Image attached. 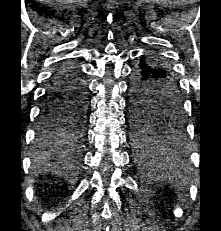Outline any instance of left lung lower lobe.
<instances>
[{"mask_svg":"<svg viewBox=\"0 0 221 231\" xmlns=\"http://www.w3.org/2000/svg\"><path fill=\"white\" fill-rule=\"evenodd\" d=\"M161 73L153 71L148 61L141 57L139 63L136 65L131 78L130 84V107L132 103L141 105H151L153 107L163 106V99H159L158 93H156L153 99H144L141 90L159 89L163 85L157 83L155 80L161 77ZM173 132L171 134H160L159 136L153 137L152 139L144 142L137 143L139 150L145 153L146 157L144 160H150L149 154L155 155L154 159L159 162L170 159L175 162L180 159L185 153V144L183 141V122L182 119L178 120L172 127ZM149 156V158H148Z\"/></svg>","mask_w":221,"mask_h":231,"instance_id":"left-lung-lower-lobe-1","label":"left lung lower lobe"}]
</instances>
